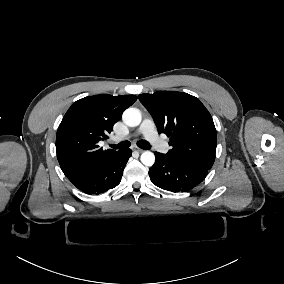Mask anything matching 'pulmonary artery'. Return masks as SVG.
<instances>
[{"instance_id":"1","label":"pulmonary artery","mask_w":284,"mask_h":284,"mask_svg":"<svg viewBox=\"0 0 284 284\" xmlns=\"http://www.w3.org/2000/svg\"><path fill=\"white\" fill-rule=\"evenodd\" d=\"M156 124L152 120L145 119L138 129V133L145 136V139L158 151L165 153L169 150L170 144L156 132Z\"/></svg>"}]
</instances>
